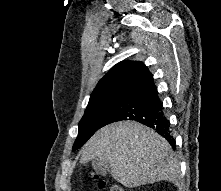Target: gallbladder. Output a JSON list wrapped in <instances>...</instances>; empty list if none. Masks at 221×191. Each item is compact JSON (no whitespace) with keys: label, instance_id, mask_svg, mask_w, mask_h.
I'll return each instance as SVG.
<instances>
[{"label":"gallbladder","instance_id":"bac80fb5","mask_svg":"<svg viewBox=\"0 0 221 191\" xmlns=\"http://www.w3.org/2000/svg\"><path fill=\"white\" fill-rule=\"evenodd\" d=\"M92 167L94 171L100 175H106L110 172V166L104 160L95 158L92 160Z\"/></svg>","mask_w":221,"mask_h":191}]
</instances>
